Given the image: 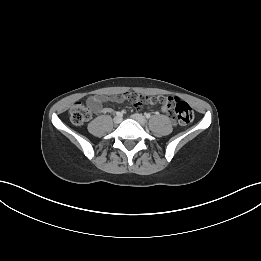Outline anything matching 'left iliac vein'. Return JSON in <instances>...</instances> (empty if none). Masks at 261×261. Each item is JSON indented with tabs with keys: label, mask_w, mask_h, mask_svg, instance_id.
<instances>
[{
	"label": "left iliac vein",
	"mask_w": 261,
	"mask_h": 261,
	"mask_svg": "<svg viewBox=\"0 0 261 261\" xmlns=\"http://www.w3.org/2000/svg\"><path fill=\"white\" fill-rule=\"evenodd\" d=\"M131 118L134 119L135 121H137L142 126L146 125V123H147V120L145 119V117L138 113L133 114L131 116Z\"/></svg>",
	"instance_id": "obj_1"
}]
</instances>
